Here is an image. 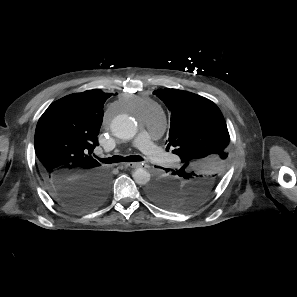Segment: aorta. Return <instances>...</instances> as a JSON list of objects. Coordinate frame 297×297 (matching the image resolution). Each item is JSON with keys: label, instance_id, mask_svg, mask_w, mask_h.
<instances>
[{"label": "aorta", "instance_id": "762f6f07", "mask_svg": "<svg viewBox=\"0 0 297 297\" xmlns=\"http://www.w3.org/2000/svg\"><path fill=\"white\" fill-rule=\"evenodd\" d=\"M111 130L113 134L123 140L132 139L137 133V127L134 121L128 115H118L111 123ZM132 177L139 185H146L150 181V173L143 169H136Z\"/></svg>", "mask_w": 297, "mask_h": 297}]
</instances>
